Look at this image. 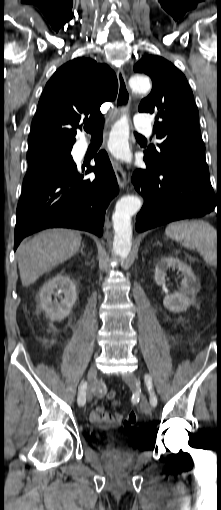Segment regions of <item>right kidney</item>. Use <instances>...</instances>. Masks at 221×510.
I'll list each match as a JSON object with an SVG mask.
<instances>
[{
	"label": "right kidney",
	"mask_w": 221,
	"mask_h": 510,
	"mask_svg": "<svg viewBox=\"0 0 221 510\" xmlns=\"http://www.w3.org/2000/svg\"><path fill=\"white\" fill-rule=\"evenodd\" d=\"M63 294L60 301L52 299L55 291ZM77 300L75 283L63 273L49 279L39 293L40 307L45 311L51 321H61L66 318Z\"/></svg>",
	"instance_id": "obj_1"
}]
</instances>
